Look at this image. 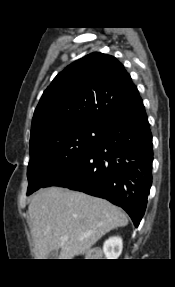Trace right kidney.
<instances>
[{
  "label": "right kidney",
  "mask_w": 175,
  "mask_h": 287,
  "mask_svg": "<svg viewBox=\"0 0 175 287\" xmlns=\"http://www.w3.org/2000/svg\"><path fill=\"white\" fill-rule=\"evenodd\" d=\"M123 248V242L120 237H111L103 245V253L107 259H117Z\"/></svg>",
  "instance_id": "right-kidney-1"
}]
</instances>
